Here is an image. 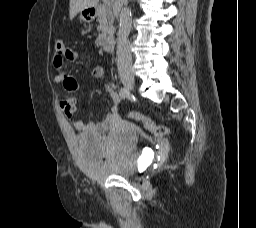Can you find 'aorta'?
Returning <instances> with one entry per match:
<instances>
[{"instance_id": "obj_1", "label": "aorta", "mask_w": 256, "mask_h": 228, "mask_svg": "<svg viewBox=\"0 0 256 228\" xmlns=\"http://www.w3.org/2000/svg\"><path fill=\"white\" fill-rule=\"evenodd\" d=\"M131 29V12L128 7H125L120 15V34L122 37H127Z\"/></svg>"}]
</instances>
